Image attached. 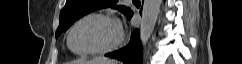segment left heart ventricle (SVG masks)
Listing matches in <instances>:
<instances>
[{
  "mask_svg": "<svg viewBox=\"0 0 242 64\" xmlns=\"http://www.w3.org/2000/svg\"><path fill=\"white\" fill-rule=\"evenodd\" d=\"M118 36L116 26L105 19L91 18L83 21L74 30L71 45L75 51L101 48L114 42Z\"/></svg>",
  "mask_w": 242,
  "mask_h": 64,
  "instance_id": "left-heart-ventricle-1",
  "label": "left heart ventricle"
}]
</instances>
